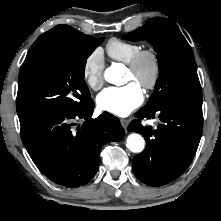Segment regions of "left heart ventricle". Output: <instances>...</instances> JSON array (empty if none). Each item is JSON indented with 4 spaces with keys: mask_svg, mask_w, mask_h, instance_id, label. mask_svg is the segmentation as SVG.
<instances>
[{
    "mask_svg": "<svg viewBox=\"0 0 221 221\" xmlns=\"http://www.w3.org/2000/svg\"><path fill=\"white\" fill-rule=\"evenodd\" d=\"M149 73V67H145L144 70H143V76H147ZM131 80H135V76L133 75V73L131 71H128V81H131Z\"/></svg>",
    "mask_w": 221,
    "mask_h": 221,
    "instance_id": "b2bd125f",
    "label": "left heart ventricle"
}]
</instances>
